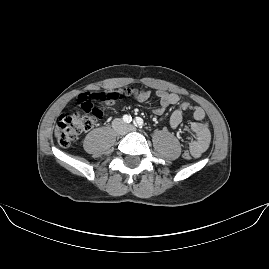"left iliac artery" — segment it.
<instances>
[{
    "label": "left iliac artery",
    "mask_w": 269,
    "mask_h": 269,
    "mask_svg": "<svg viewBox=\"0 0 269 269\" xmlns=\"http://www.w3.org/2000/svg\"><path fill=\"white\" fill-rule=\"evenodd\" d=\"M134 125L139 127V128H142L143 127V119L140 118V117H136L133 121Z\"/></svg>",
    "instance_id": "obj_1"
}]
</instances>
